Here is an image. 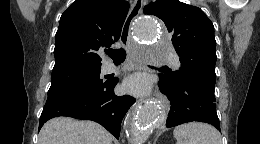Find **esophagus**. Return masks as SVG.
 Wrapping results in <instances>:
<instances>
[{"mask_svg":"<svg viewBox=\"0 0 260 144\" xmlns=\"http://www.w3.org/2000/svg\"><path fill=\"white\" fill-rule=\"evenodd\" d=\"M143 7V0H134L131 10L127 15V18L124 22L122 32H121V37H120V42L122 45H125L127 43V39L130 37L131 34V26L134 20L139 16V14L142 11ZM137 69L139 70H146L147 66L145 62L143 61H138L136 64ZM156 97H159V93H155Z\"/></svg>","mask_w":260,"mask_h":144,"instance_id":"obj_1","label":"esophagus"}]
</instances>
